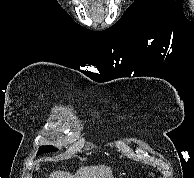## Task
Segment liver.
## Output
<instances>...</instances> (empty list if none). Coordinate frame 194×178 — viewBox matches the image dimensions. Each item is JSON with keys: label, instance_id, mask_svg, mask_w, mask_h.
I'll list each match as a JSON object with an SVG mask.
<instances>
[{"label": "liver", "instance_id": "obj_1", "mask_svg": "<svg viewBox=\"0 0 194 178\" xmlns=\"http://www.w3.org/2000/svg\"><path fill=\"white\" fill-rule=\"evenodd\" d=\"M49 178H114L110 167L105 165L81 167L72 175L69 172L54 171Z\"/></svg>", "mask_w": 194, "mask_h": 178}]
</instances>
